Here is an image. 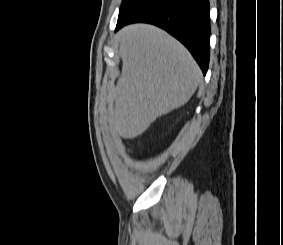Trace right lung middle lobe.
Listing matches in <instances>:
<instances>
[{
    "label": "right lung middle lobe",
    "mask_w": 283,
    "mask_h": 245,
    "mask_svg": "<svg viewBox=\"0 0 283 245\" xmlns=\"http://www.w3.org/2000/svg\"><path fill=\"white\" fill-rule=\"evenodd\" d=\"M148 1L149 0H122L117 24L126 20L132 13Z\"/></svg>",
    "instance_id": "dd1d6c3e"
}]
</instances>
